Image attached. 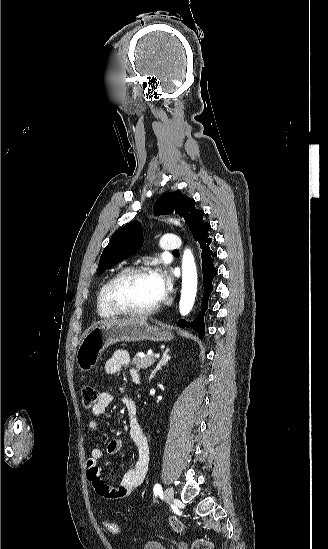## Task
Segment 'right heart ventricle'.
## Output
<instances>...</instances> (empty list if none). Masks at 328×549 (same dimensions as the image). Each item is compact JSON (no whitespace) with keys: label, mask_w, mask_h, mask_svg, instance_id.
I'll use <instances>...</instances> for the list:
<instances>
[{"label":"right heart ventricle","mask_w":328,"mask_h":549,"mask_svg":"<svg viewBox=\"0 0 328 549\" xmlns=\"http://www.w3.org/2000/svg\"><path fill=\"white\" fill-rule=\"evenodd\" d=\"M129 263L128 262H124L122 263L120 266H119V271H121L124 267H126ZM112 279V278H111ZM107 280L103 285L102 287L100 288L99 292H98V295H97V299H96V312H97V315L104 321H109L111 319H115V318H118V316H114V315H111L107 312L106 310V302H105V298H104V292H105V289H106V286L107 284L109 283V281L111 280Z\"/></svg>","instance_id":"1"}]
</instances>
